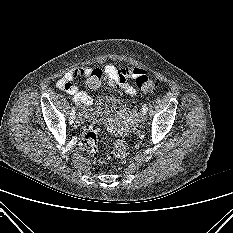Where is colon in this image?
<instances>
[{
	"label": "colon",
	"mask_w": 233,
	"mask_h": 233,
	"mask_svg": "<svg viewBox=\"0 0 233 233\" xmlns=\"http://www.w3.org/2000/svg\"><path fill=\"white\" fill-rule=\"evenodd\" d=\"M107 80V76L101 69H93L86 79V86L90 90H96L106 83ZM135 84L139 89L147 93L153 92L157 87V83L145 74L137 76L135 78ZM83 139L89 156L96 162H104L98 155L99 140L96 130L89 121H87L83 127ZM130 150L131 147L128 143L122 140L116 141L108 159L109 161L123 160L128 156Z\"/></svg>",
	"instance_id": "colon-1"
}]
</instances>
